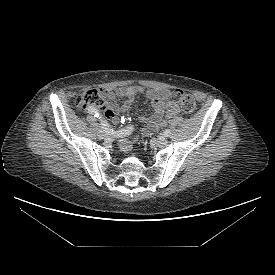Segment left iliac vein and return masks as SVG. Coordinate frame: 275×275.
Masks as SVG:
<instances>
[{"instance_id":"4c4485c4","label":"left iliac vein","mask_w":275,"mask_h":275,"mask_svg":"<svg viewBox=\"0 0 275 275\" xmlns=\"http://www.w3.org/2000/svg\"><path fill=\"white\" fill-rule=\"evenodd\" d=\"M156 143L159 147H164L168 144V140L165 137L161 136L156 140Z\"/></svg>"}]
</instances>
